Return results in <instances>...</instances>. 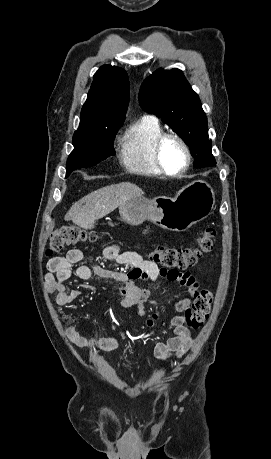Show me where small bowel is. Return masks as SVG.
Listing matches in <instances>:
<instances>
[{
  "instance_id": "small-bowel-1",
  "label": "small bowel",
  "mask_w": 271,
  "mask_h": 459,
  "mask_svg": "<svg viewBox=\"0 0 271 459\" xmlns=\"http://www.w3.org/2000/svg\"><path fill=\"white\" fill-rule=\"evenodd\" d=\"M102 257L107 261H115L119 264L131 265L134 268L129 272H114L100 266L94 257H89L88 264H84V253L79 249H72L65 256L55 257L48 262V272L45 275L46 289L50 293H56L58 305H68L77 300L82 291L72 289L67 291L64 282L68 280L73 272L82 280H89L96 275L101 278H108L120 284V292L123 296L121 306L126 309H136L139 315L144 314L143 302L148 292L135 284L136 280L155 281L159 276L168 281L178 282L185 288L190 297L175 301L174 308L179 312H185L191 308L192 300L198 296L200 289L195 277L188 271H171L159 268L154 262L144 259L134 251L121 252L118 245L110 244L102 252ZM131 318V316H129ZM169 328L175 334L165 343H159L154 348V355L160 360L170 358H181L190 349L192 344L191 330L184 325V316H174L169 322ZM68 338L79 348L91 350L111 351L118 347L123 333L115 337L101 339L85 338L75 328L67 329Z\"/></svg>"
}]
</instances>
